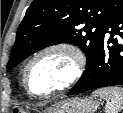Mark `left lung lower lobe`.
<instances>
[{"label": "left lung lower lobe", "instance_id": "obj_1", "mask_svg": "<svg viewBox=\"0 0 123 113\" xmlns=\"http://www.w3.org/2000/svg\"><path fill=\"white\" fill-rule=\"evenodd\" d=\"M113 85H123V0H111L103 38L68 95Z\"/></svg>", "mask_w": 123, "mask_h": 113}]
</instances>
